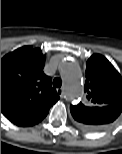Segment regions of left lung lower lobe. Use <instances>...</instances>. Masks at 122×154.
<instances>
[{
  "instance_id": "obj_1",
  "label": "left lung lower lobe",
  "mask_w": 122,
  "mask_h": 154,
  "mask_svg": "<svg viewBox=\"0 0 122 154\" xmlns=\"http://www.w3.org/2000/svg\"><path fill=\"white\" fill-rule=\"evenodd\" d=\"M121 111L122 107L119 106L85 107L84 114H80V120L84 123H77L84 130L97 131L112 123Z\"/></svg>"
}]
</instances>
